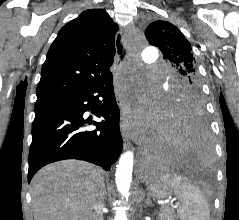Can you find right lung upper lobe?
I'll use <instances>...</instances> for the list:
<instances>
[{
  "mask_svg": "<svg viewBox=\"0 0 239 220\" xmlns=\"http://www.w3.org/2000/svg\"><path fill=\"white\" fill-rule=\"evenodd\" d=\"M118 25L103 9H90L59 31L47 53L35 105L82 93L109 75Z\"/></svg>",
  "mask_w": 239,
  "mask_h": 220,
  "instance_id": "1",
  "label": "right lung upper lobe"
}]
</instances>
